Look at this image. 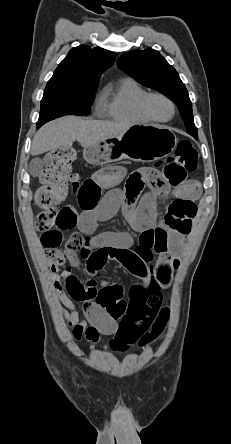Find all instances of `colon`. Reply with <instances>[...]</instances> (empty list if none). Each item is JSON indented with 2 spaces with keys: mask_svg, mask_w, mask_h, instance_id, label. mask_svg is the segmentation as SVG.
<instances>
[{
  "mask_svg": "<svg viewBox=\"0 0 231 444\" xmlns=\"http://www.w3.org/2000/svg\"><path fill=\"white\" fill-rule=\"evenodd\" d=\"M75 153L72 149L50 152L45 158V167L40 177L35 201L43 209L36 217V227L44 233L59 232L75 226V215L68 208L60 207L67 194L69 181L73 178L71 164ZM162 168V175L173 186L181 188L187 185L188 174L198 168L197 152L192 144L185 140L178 144L177 149L165 162H157L153 169L142 170L149 174L151 170ZM74 183L76 190L79 188ZM170 229L186 235L191 229L192 218L196 213L193 202L178 200L169 209ZM157 233H161L158 229ZM64 287L74 299L84 296V286L70 268H67L63 279ZM161 288L153 284L145 293L133 296L128 302L126 312L119 321L118 330L110 341L113 351L124 352L130 345H145L154 340L163 331L168 312L162 307Z\"/></svg>",
  "mask_w": 231,
  "mask_h": 444,
  "instance_id": "5ec220e1",
  "label": "colon"
}]
</instances>
